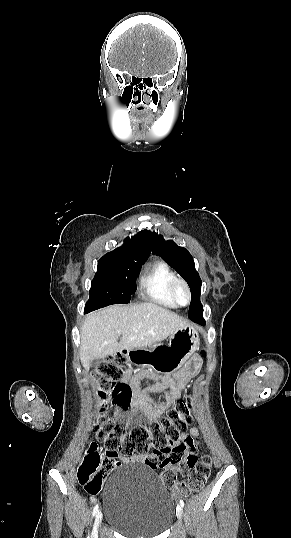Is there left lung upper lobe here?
<instances>
[{
  "mask_svg": "<svg viewBox=\"0 0 291 538\" xmlns=\"http://www.w3.org/2000/svg\"><path fill=\"white\" fill-rule=\"evenodd\" d=\"M152 251L161 256L171 267H173L188 283L191 290V303L188 317L203 309L200 303L201 279L195 269L192 255L184 247H180L172 240L165 241L161 235L150 231Z\"/></svg>",
  "mask_w": 291,
  "mask_h": 538,
  "instance_id": "5c2ea615",
  "label": "left lung upper lobe"
}]
</instances>
